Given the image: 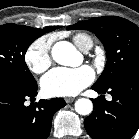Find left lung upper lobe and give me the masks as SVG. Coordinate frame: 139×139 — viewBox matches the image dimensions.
I'll return each mask as SVG.
<instances>
[{"label":"left lung upper lobe","instance_id":"5c2ea615","mask_svg":"<svg viewBox=\"0 0 139 139\" xmlns=\"http://www.w3.org/2000/svg\"><path fill=\"white\" fill-rule=\"evenodd\" d=\"M67 29L91 31L104 45L107 63L95 86L107 88L127 71L139 67V28L134 23L117 16H105L80 21Z\"/></svg>","mask_w":139,"mask_h":139}]
</instances>
